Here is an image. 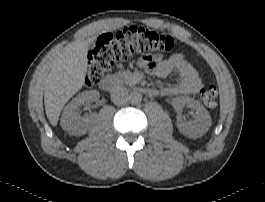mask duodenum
<instances>
[{
	"label": "duodenum",
	"instance_id": "duodenum-1",
	"mask_svg": "<svg viewBox=\"0 0 265 202\" xmlns=\"http://www.w3.org/2000/svg\"><path fill=\"white\" fill-rule=\"evenodd\" d=\"M116 85H117V80L113 76L103 77L99 84L100 88L106 91L113 90L116 87ZM140 89L143 93L149 96L155 93V90L151 87L144 86V87H141Z\"/></svg>",
	"mask_w": 265,
	"mask_h": 202
}]
</instances>
